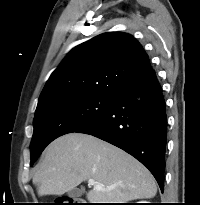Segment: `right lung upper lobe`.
I'll return each instance as SVG.
<instances>
[{
  "label": "right lung upper lobe",
  "mask_w": 200,
  "mask_h": 205,
  "mask_svg": "<svg viewBox=\"0 0 200 205\" xmlns=\"http://www.w3.org/2000/svg\"><path fill=\"white\" fill-rule=\"evenodd\" d=\"M152 70L148 55L130 34L108 32L73 48L51 74L36 112L78 96L114 97Z\"/></svg>",
  "instance_id": "1"
}]
</instances>
